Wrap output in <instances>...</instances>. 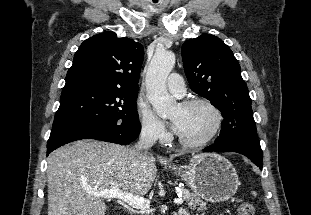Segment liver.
<instances>
[{"label": "liver", "mask_w": 311, "mask_h": 215, "mask_svg": "<svg viewBox=\"0 0 311 215\" xmlns=\"http://www.w3.org/2000/svg\"><path fill=\"white\" fill-rule=\"evenodd\" d=\"M48 215H105L107 205L93 192L119 189L144 196L157 169L149 152L82 140L63 146L48 157Z\"/></svg>", "instance_id": "1"}]
</instances>
